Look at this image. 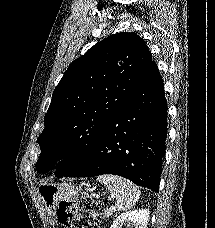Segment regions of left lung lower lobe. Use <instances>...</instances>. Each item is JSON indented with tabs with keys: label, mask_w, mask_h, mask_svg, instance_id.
<instances>
[{
	"label": "left lung lower lobe",
	"mask_w": 215,
	"mask_h": 228,
	"mask_svg": "<svg viewBox=\"0 0 215 228\" xmlns=\"http://www.w3.org/2000/svg\"><path fill=\"white\" fill-rule=\"evenodd\" d=\"M166 135L167 101L153 61L88 153L60 177L114 174L158 192Z\"/></svg>",
	"instance_id": "1"
}]
</instances>
